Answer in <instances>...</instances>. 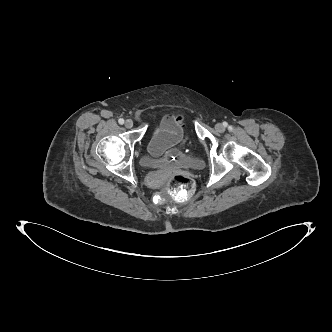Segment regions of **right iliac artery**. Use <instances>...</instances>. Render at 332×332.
Instances as JSON below:
<instances>
[{
	"mask_svg": "<svg viewBox=\"0 0 332 332\" xmlns=\"http://www.w3.org/2000/svg\"><path fill=\"white\" fill-rule=\"evenodd\" d=\"M118 122H119V124L122 125L124 123V119L121 118V119L118 120Z\"/></svg>",
	"mask_w": 332,
	"mask_h": 332,
	"instance_id": "1",
	"label": "right iliac artery"
}]
</instances>
